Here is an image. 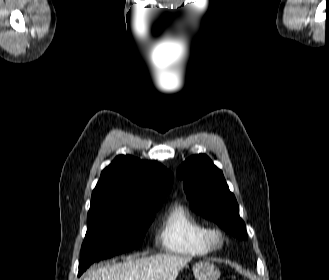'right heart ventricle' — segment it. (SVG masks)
Returning <instances> with one entry per match:
<instances>
[{"mask_svg": "<svg viewBox=\"0 0 329 280\" xmlns=\"http://www.w3.org/2000/svg\"><path fill=\"white\" fill-rule=\"evenodd\" d=\"M206 224L181 203L173 204L161 227L159 240L163 249L183 256H204L212 252L205 239Z\"/></svg>", "mask_w": 329, "mask_h": 280, "instance_id": "e07e8e85", "label": "right heart ventricle"}]
</instances>
